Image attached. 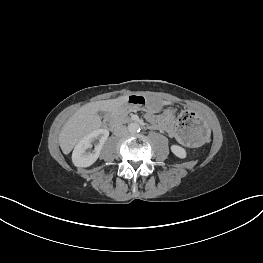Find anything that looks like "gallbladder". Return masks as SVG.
<instances>
[{"instance_id":"1","label":"gallbladder","mask_w":263,"mask_h":263,"mask_svg":"<svg viewBox=\"0 0 263 263\" xmlns=\"http://www.w3.org/2000/svg\"><path fill=\"white\" fill-rule=\"evenodd\" d=\"M98 115L101 117V118H104L106 113L104 111H99L98 112Z\"/></svg>"}]
</instances>
